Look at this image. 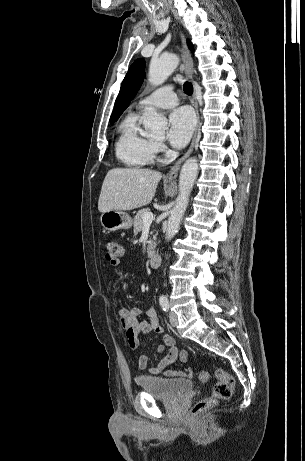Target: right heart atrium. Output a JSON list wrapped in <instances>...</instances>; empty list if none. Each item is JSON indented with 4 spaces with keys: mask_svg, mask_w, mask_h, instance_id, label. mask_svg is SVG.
I'll return each mask as SVG.
<instances>
[{
    "mask_svg": "<svg viewBox=\"0 0 305 461\" xmlns=\"http://www.w3.org/2000/svg\"><path fill=\"white\" fill-rule=\"evenodd\" d=\"M156 153H163L165 151V146L161 142L154 144Z\"/></svg>",
    "mask_w": 305,
    "mask_h": 461,
    "instance_id": "d8ad5b80",
    "label": "right heart atrium"
}]
</instances>
